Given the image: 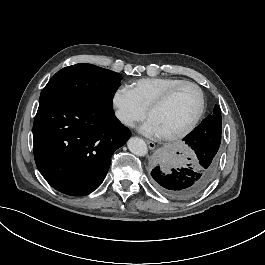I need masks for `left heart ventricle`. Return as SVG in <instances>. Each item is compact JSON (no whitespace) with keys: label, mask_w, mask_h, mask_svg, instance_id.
Here are the masks:
<instances>
[{"label":"left heart ventricle","mask_w":265,"mask_h":265,"mask_svg":"<svg viewBox=\"0 0 265 265\" xmlns=\"http://www.w3.org/2000/svg\"><path fill=\"white\" fill-rule=\"evenodd\" d=\"M199 108V95L195 88L181 89L164 107L153 112V120L160 133L167 136L184 129L195 117Z\"/></svg>","instance_id":"left-heart-ventricle-1"}]
</instances>
